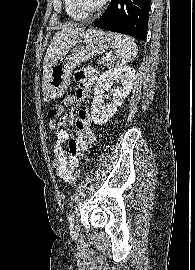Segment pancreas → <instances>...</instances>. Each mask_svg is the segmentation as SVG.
I'll list each match as a JSON object with an SVG mask.
<instances>
[{
  "label": "pancreas",
  "mask_w": 195,
  "mask_h": 270,
  "mask_svg": "<svg viewBox=\"0 0 195 270\" xmlns=\"http://www.w3.org/2000/svg\"><path fill=\"white\" fill-rule=\"evenodd\" d=\"M100 64L104 66H110L111 65V58L103 57L100 60Z\"/></svg>",
  "instance_id": "cf45deb5"
}]
</instances>
